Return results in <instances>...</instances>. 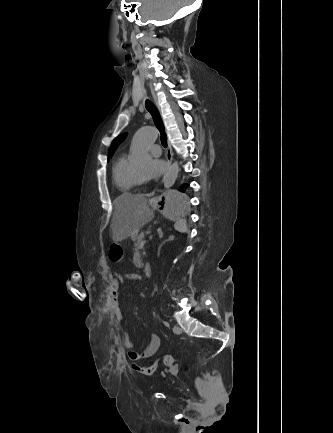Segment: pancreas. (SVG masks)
Returning <instances> with one entry per match:
<instances>
[{"label": "pancreas", "mask_w": 333, "mask_h": 433, "mask_svg": "<svg viewBox=\"0 0 333 433\" xmlns=\"http://www.w3.org/2000/svg\"><path fill=\"white\" fill-rule=\"evenodd\" d=\"M144 232H140L133 240L135 241L134 243V249L135 251H138V249L140 248V244L141 242H143L144 239Z\"/></svg>", "instance_id": "1"}]
</instances>
